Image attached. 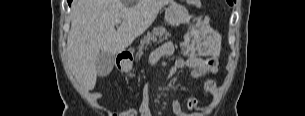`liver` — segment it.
Listing matches in <instances>:
<instances>
[{
	"mask_svg": "<svg viewBox=\"0 0 305 116\" xmlns=\"http://www.w3.org/2000/svg\"><path fill=\"white\" fill-rule=\"evenodd\" d=\"M173 0H73L67 38L68 64L86 90L95 87L100 52L121 53ZM121 24L116 30L115 21Z\"/></svg>",
	"mask_w": 305,
	"mask_h": 116,
	"instance_id": "6515ba94",
	"label": "liver"
}]
</instances>
